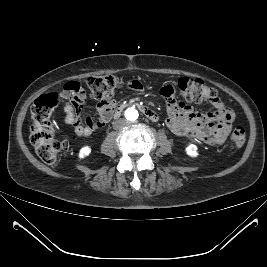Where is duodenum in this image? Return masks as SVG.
Segmentation results:
<instances>
[{
  "instance_id": "410a0bca",
  "label": "duodenum",
  "mask_w": 267,
  "mask_h": 267,
  "mask_svg": "<svg viewBox=\"0 0 267 267\" xmlns=\"http://www.w3.org/2000/svg\"><path fill=\"white\" fill-rule=\"evenodd\" d=\"M128 106V103H123L118 105L115 109L112 110L111 112V118H117L121 115L122 111L124 110L125 107ZM141 109V111L152 121H156L158 119L157 113L152 110L150 107L146 105H138Z\"/></svg>"
}]
</instances>
